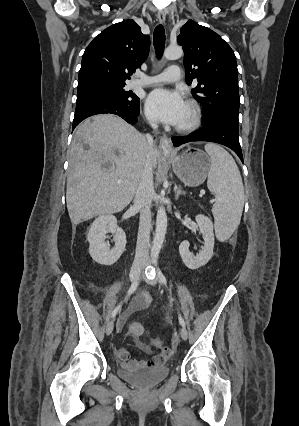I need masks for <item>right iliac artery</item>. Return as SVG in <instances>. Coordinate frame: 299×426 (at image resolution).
<instances>
[{
  "mask_svg": "<svg viewBox=\"0 0 299 426\" xmlns=\"http://www.w3.org/2000/svg\"><path fill=\"white\" fill-rule=\"evenodd\" d=\"M138 284H139V281L138 280H136V281H134L132 284H131V286H130V288H129V290H128V293H127V297L126 298H128V297H130L134 292H135V290L137 289V287H138ZM120 308H121V304H119L113 311H112V313H111V317L113 318V317H115L116 316V314L118 313V311L120 310Z\"/></svg>",
  "mask_w": 299,
  "mask_h": 426,
  "instance_id": "1",
  "label": "right iliac artery"
}]
</instances>
